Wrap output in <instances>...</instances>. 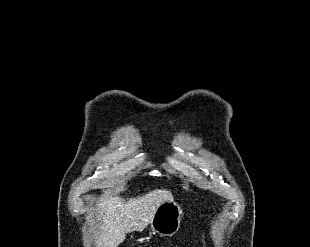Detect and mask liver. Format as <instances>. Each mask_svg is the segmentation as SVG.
Returning <instances> with one entry per match:
<instances>
[{"mask_svg": "<svg viewBox=\"0 0 310 247\" xmlns=\"http://www.w3.org/2000/svg\"><path fill=\"white\" fill-rule=\"evenodd\" d=\"M97 204L100 232L96 238V247H117L126 237V233L142 231L150 223L159 205L173 200L166 189H156L146 195L125 201L119 196L109 195L110 190Z\"/></svg>", "mask_w": 310, "mask_h": 247, "instance_id": "6515ba94", "label": "liver"}]
</instances>
